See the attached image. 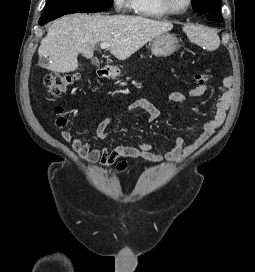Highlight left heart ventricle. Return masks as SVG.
I'll return each instance as SVG.
<instances>
[{
  "label": "left heart ventricle",
  "mask_w": 255,
  "mask_h": 272,
  "mask_svg": "<svg viewBox=\"0 0 255 272\" xmlns=\"http://www.w3.org/2000/svg\"><path fill=\"white\" fill-rule=\"evenodd\" d=\"M187 0H170L172 6L176 9H181L186 5Z\"/></svg>",
  "instance_id": "1"
}]
</instances>
